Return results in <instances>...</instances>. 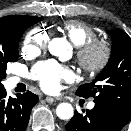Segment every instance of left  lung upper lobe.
I'll use <instances>...</instances> for the list:
<instances>
[{
	"label": "left lung upper lobe",
	"instance_id": "1",
	"mask_svg": "<svg viewBox=\"0 0 131 131\" xmlns=\"http://www.w3.org/2000/svg\"><path fill=\"white\" fill-rule=\"evenodd\" d=\"M110 34L109 62L91 83L80 86L76 94L94 97L96 104L105 106L128 123L131 118V38L120 29Z\"/></svg>",
	"mask_w": 131,
	"mask_h": 131
}]
</instances>
